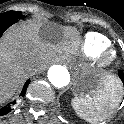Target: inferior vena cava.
Returning <instances> with one entry per match:
<instances>
[{
  "label": "inferior vena cava",
  "mask_w": 124,
  "mask_h": 124,
  "mask_svg": "<svg viewBox=\"0 0 124 124\" xmlns=\"http://www.w3.org/2000/svg\"><path fill=\"white\" fill-rule=\"evenodd\" d=\"M30 70H31L32 72H37V71L39 70V65H38L37 63H32V64L30 65Z\"/></svg>",
  "instance_id": "1"
}]
</instances>
